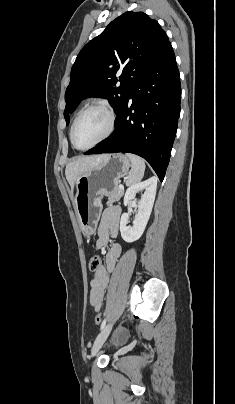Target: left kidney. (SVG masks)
Segmentation results:
<instances>
[{
    "mask_svg": "<svg viewBox=\"0 0 235 404\" xmlns=\"http://www.w3.org/2000/svg\"><path fill=\"white\" fill-rule=\"evenodd\" d=\"M157 188V178L151 177L146 181L133 184L130 186L124 196V205L127 206L129 201L135 199L136 194L145 190L138 203V211L135 215L133 221V226H127L130 215L128 213H123L120 220V232L121 237L125 242L131 243L138 240L148 223L150 214L152 212Z\"/></svg>",
    "mask_w": 235,
    "mask_h": 404,
    "instance_id": "1",
    "label": "left kidney"
}]
</instances>
